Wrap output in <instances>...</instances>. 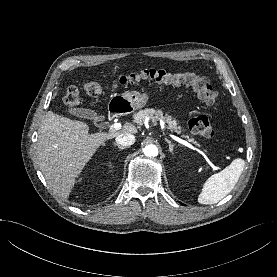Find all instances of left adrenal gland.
I'll return each mask as SVG.
<instances>
[{"label": "left adrenal gland", "instance_id": "obj_1", "mask_svg": "<svg viewBox=\"0 0 277 277\" xmlns=\"http://www.w3.org/2000/svg\"><path fill=\"white\" fill-rule=\"evenodd\" d=\"M166 142L168 143V145H169V151L172 153V155L174 154L173 153V144L171 143V141L170 140H168V139H166Z\"/></svg>", "mask_w": 277, "mask_h": 277}]
</instances>
